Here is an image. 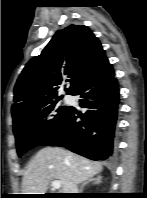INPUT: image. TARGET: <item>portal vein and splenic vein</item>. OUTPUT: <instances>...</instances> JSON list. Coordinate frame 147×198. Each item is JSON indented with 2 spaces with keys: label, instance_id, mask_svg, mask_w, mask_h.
Instances as JSON below:
<instances>
[{
  "label": "portal vein and splenic vein",
  "instance_id": "18ae733b",
  "mask_svg": "<svg viewBox=\"0 0 147 198\" xmlns=\"http://www.w3.org/2000/svg\"><path fill=\"white\" fill-rule=\"evenodd\" d=\"M51 185H52L53 189H60L61 188V182L59 180L52 181Z\"/></svg>",
  "mask_w": 147,
  "mask_h": 198
}]
</instances>
